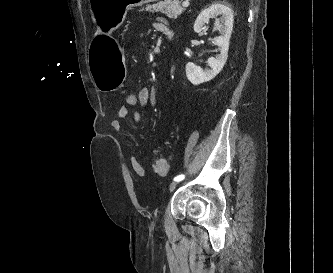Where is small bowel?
Instances as JSON below:
<instances>
[{"label": "small bowel", "mask_w": 333, "mask_h": 273, "mask_svg": "<svg viewBox=\"0 0 333 273\" xmlns=\"http://www.w3.org/2000/svg\"><path fill=\"white\" fill-rule=\"evenodd\" d=\"M155 28L158 31H165L166 29H169L168 25L162 22H157L155 24ZM133 94V93H129ZM138 102L139 105L142 107H147L150 101V91L148 88L144 87L141 88L138 92ZM131 117L133 122H139L140 121V114L137 112L131 113L130 109H123L122 106L118 109L116 118L112 121V127L115 132L120 133L123 126V119ZM129 163L134 171V173L138 177H143L145 174V169L141 165V163L138 161V159L135 156H130Z\"/></svg>", "instance_id": "1"}]
</instances>
